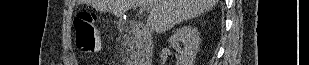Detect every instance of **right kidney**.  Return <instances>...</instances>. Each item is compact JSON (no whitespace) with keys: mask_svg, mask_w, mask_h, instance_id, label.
Masks as SVG:
<instances>
[{"mask_svg":"<svg viewBox=\"0 0 309 65\" xmlns=\"http://www.w3.org/2000/svg\"><path fill=\"white\" fill-rule=\"evenodd\" d=\"M170 45L178 53L176 65H193L199 48V32L191 26H183L169 39ZM182 43L183 48L180 47Z\"/></svg>","mask_w":309,"mask_h":65,"instance_id":"obj_1","label":"right kidney"}]
</instances>
